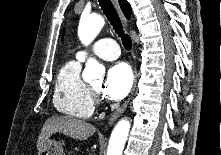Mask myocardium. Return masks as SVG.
I'll return each mask as SVG.
<instances>
[{"label":"myocardium","mask_w":221,"mask_h":155,"mask_svg":"<svg viewBox=\"0 0 221 155\" xmlns=\"http://www.w3.org/2000/svg\"><path fill=\"white\" fill-rule=\"evenodd\" d=\"M88 89H89V92H90V95H91L93 101L96 100L97 96H98V90H96L92 86H88Z\"/></svg>","instance_id":"1"}]
</instances>
